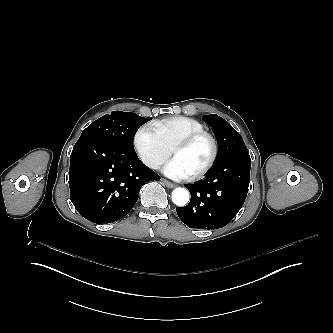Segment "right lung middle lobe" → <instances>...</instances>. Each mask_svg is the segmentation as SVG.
I'll return each instance as SVG.
<instances>
[{
    "label": "right lung middle lobe",
    "instance_id": "dd1d6c3e",
    "mask_svg": "<svg viewBox=\"0 0 333 333\" xmlns=\"http://www.w3.org/2000/svg\"><path fill=\"white\" fill-rule=\"evenodd\" d=\"M149 120L151 119L140 117L135 113L113 111L91 123L80 138L85 136L101 138L116 145L123 152L136 154L133 148L135 133Z\"/></svg>",
    "mask_w": 333,
    "mask_h": 333
}]
</instances>
